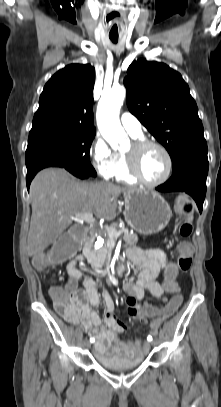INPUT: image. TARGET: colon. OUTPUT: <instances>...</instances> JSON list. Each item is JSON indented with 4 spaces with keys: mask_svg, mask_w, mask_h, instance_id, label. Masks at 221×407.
Returning a JSON list of instances; mask_svg holds the SVG:
<instances>
[{
    "mask_svg": "<svg viewBox=\"0 0 221 407\" xmlns=\"http://www.w3.org/2000/svg\"><path fill=\"white\" fill-rule=\"evenodd\" d=\"M176 211L183 217L179 226V234L182 237H188L192 233L193 204L185 196H179L175 204ZM88 233L85 222H74L70 230H65V234H59L57 246L53 247V252H45L44 256L34 255L35 270L42 272L44 267L49 264L51 268H58L60 261H70L71 255H78L79 247L83 240L87 239ZM195 245L189 239H182L179 246L178 265L173 258L167 261L168 265L164 267L163 284L165 286H176L181 271L186 272L191 267L192 255ZM51 297L54 301L56 311L62 316L69 313L79 296L69 287H52ZM185 298L179 292L171 296L168 304L163 305H141L136 307L132 314L137 322H151L152 318H167L171 313H178L181 304Z\"/></svg>",
    "mask_w": 221,
    "mask_h": 407,
    "instance_id": "5ec220e1",
    "label": "colon"
}]
</instances>
